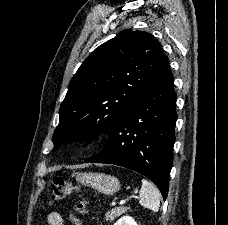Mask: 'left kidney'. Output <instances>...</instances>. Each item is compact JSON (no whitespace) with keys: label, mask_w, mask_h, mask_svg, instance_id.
I'll use <instances>...</instances> for the list:
<instances>
[{"label":"left kidney","mask_w":228,"mask_h":225,"mask_svg":"<svg viewBox=\"0 0 228 225\" xmlns=\"http://www.w3.org/2000/svg\"><path fill=\"white\" fill-rule=\"evenodd\" d=\"M115 225H137V223H135L132 217H128V215H125V217H121L119 221H116Z\"/></svg>","instance_id":"obj_1"}]
</instances>
